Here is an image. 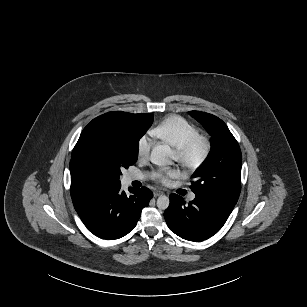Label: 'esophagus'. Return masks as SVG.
I'll use <instances>...</instances> for the list:
<instances>
[{"mask_svg":"<svg viewBox=\"0 0 307 307\" xmlns=\"http://www.w3.org/2000/svg\"><path fill=\"white\" fill-rule=\"evenodd\" d=\"M154 197H159V196H162V195H164V192L163 191H160V190H156V191H154Z\"/></svg>","mask_w":307,"mask_h":307,"instance_id":"34e87169","label":"esophagus"}]
</instances>
